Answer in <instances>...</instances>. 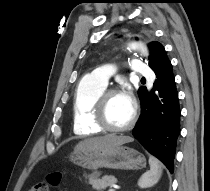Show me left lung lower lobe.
<instances>
[{
  "instance_id": "1",
  "label": "left lung lower lobe",
  "mask_w": 210,
  "mask_h": 191,
  "mask_svg": "<svg viewBox=\"0 0 210 191\" xmlns=\"http://www.w3.org/2000/svg\"><path fill=\"white\" fill-rule=\"evenodd\" d=\"M160 56L150 66L156 75L153 88H139L142 110L133 135L173 173L181 111L171 62L166 52Z\"/></svg>"
}]
</instances>
